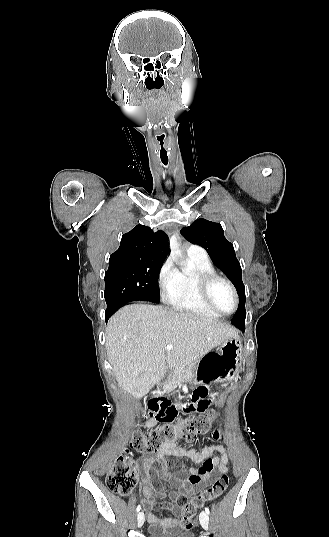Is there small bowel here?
Masks as SVG:
<instances>
[{"label":"small bowel","mask_w":329,"mask_h":537,"mask_svg":"<svg viewBox=\"0 0 329 537\" xmlns=\"http://www.w3.org/2000/svg\"><path fill=\"white\" fill-rule=\"evenodd\" d=\"M213 390V387H210ZM210 391L205 382L200 381L193 389V396L187 397L181 403L175 401L172 405L158 408L155 420L159 424H173L177 420V412H189L197 414L208 409ZM217 396V393H214ZM154 425L153 421L147 422L146 427ZM214 438L218 435L212 433ZM188 459L195 464H202L199 469L189 466L172 464V459ZM157 463L162 471L164 479L174 489L169 492L158 490L148 474V467ZM137 474L140 476L143 488L141 503L147 512V521L150 524L151 533L164 532L166 530L179 531L184 529L180 519L181 507L185 505L188 497H192L197 491L210 484L218 475L227 473L229 470V457L226 447L223 445L197 448L192 446H178L174 442L164 443L155 457H143L139 464L133 463ZM177 471L172 472V468ZM167 499L161 505L172 515L159 517L152 509L159 503V499Z\"/></svg>","instance_id":"obj_1"}]
</instances>
